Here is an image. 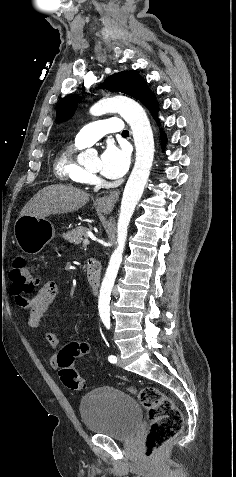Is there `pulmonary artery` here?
I'll use <instances>...</instances> for the list:
<instances>
[{"label": "pulmonary artery", "mask_w": 236, "mask_h": 477, "mask_svg": "<svg viewBox=\"0 0 236 477\" xmlns=\"http://www.w3.org/2000/svg\"><path fill=\"white\" fill-rule=\"evenodd\" d=\"M124 130L123 122L119 118L99 120L83 127L76 135L75 142L83 146H88L106 133H122Z\"/></svg>", "instance_id": "e3ab8cb5"}]
</instances>
